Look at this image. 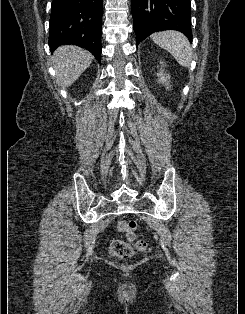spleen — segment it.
I'll list each match as a JSON object with an SVG mask.
<instances>
[{
	"label": "spleen",
	"instance_id": "1",
	"mask_svg": "<svg viewBox=\"0 0 245 314\" xmlns=\"http://www.w3.org/2000/svg\"><path fill=\"white\" fill-rule=\"evenodd\" d=\"M151 39L165 49L183 67H189L192 61V49L188 39L180 32L167 30L151 35Z\"/></svg>",
	"mask_w": 245,
	"mask_h": 314
}]
</instances>
